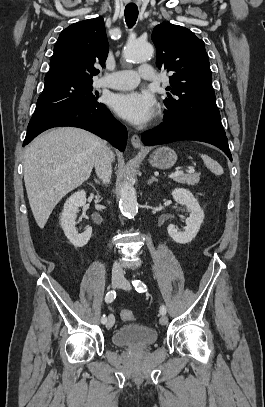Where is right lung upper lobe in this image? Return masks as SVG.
<instances>
[{"mask_svg":"<svg viewBox=\"0 0 265 407\" xmlns=\"http://www.w3.org/2000/svg\"><path fill=\"white\" fill-rule=\"evenodd\" d=\"M109 50L103 18L74 23L63 30L54 46L45 80H92L104 66Z\"/></svg>","mask_w":265,"mask_h":407,"instance_id":"right-lung-upper-lobe-1","label":"right lung upper lobe"}]
</instances>
